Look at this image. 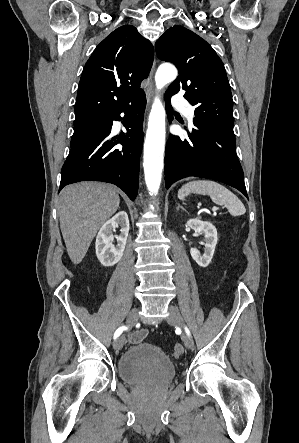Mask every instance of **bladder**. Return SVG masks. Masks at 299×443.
<instances>
[{
	"mask_svg": "<svg viewBox=\"0 0 299 443\" xmlns=\"http://www.w3.org/2000/svg\"><path fill=\"white\" fill-rule=\"evenodd\" d=\"M117 373L130 385H161L172 381L176 370L171 359L156 345L139 343L120 357Z\"/></svg>",
	"mask_w": 299,
	"mask_h": 443,
	"instance_id": "31cf9c89",
	"label": "bladder"
}]
</instances>
